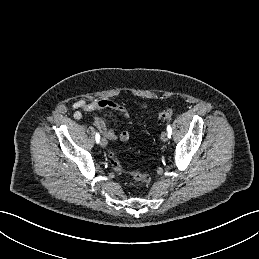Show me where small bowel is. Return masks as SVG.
<instances>
[{"mask_svg":"<svg viewBox=\"0 0 259 259\" xmlns=\"http://www.w3.org/2000/svg\"><path fill=\"white\" fill-rule=\"evenodd\" d=\"M141 107H146V103H143ZM105 108L113 110L116 114L123 117L129 123L131 122L128 110L123 105L109 99H99L93 101L79 100L72 105L73 115L76 119H80L83 112H92ZM94 124L110 141L127 142L131 137L130 132L127 130L116 133L112 128H109L101 118H95Z\"/></svg>","mask_w":259,"mask_h":259,"instance_id":"1","label":"small bowel"}]
</instances>
